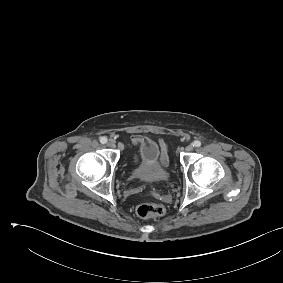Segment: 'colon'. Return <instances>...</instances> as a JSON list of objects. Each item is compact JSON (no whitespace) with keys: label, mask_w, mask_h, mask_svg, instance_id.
<instances>
[{"label":"colon","mask_w":283,"mask_h":283,"mask_svg":"<svg viewBox=\"0 0 283 283\" xmlns=\"http://www.w3.org/2000/svg\"><path fill=\"white\" fill-rule=\"evenodd\" d=\"M165 207L162 204L145 202L137 207L136 213L140 218L159 217L165 214Z\"/></svg>","instance_id":"1"}]
</instances>
